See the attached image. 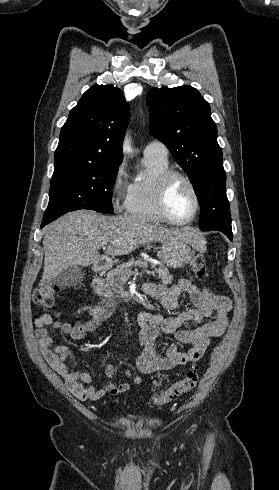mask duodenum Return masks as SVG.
<instances>
[{
  "instance_id": "1",
  "label": "duodenum",
  "mask_w": 279,
  "mask_h": 490,
  "mask_svg": "<svg viewBox=\"0 0 279 490\" xmlns=\"http://www.w3.org/2000/svg\"><path fill=\"white\" fill-rule=\"evenodd\" d=\"M105 267V263L98 260L94 263L93 268L95 271H101ZM128 292L125 289H118L114 295L106 296L99 304L92 307V315L97 319H107L110 317L115 309L116 300L120 297H126Z\"/></svg>"
}]
</instances>
